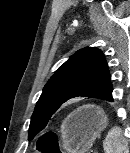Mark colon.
<instances>
[{
  "instance_id": "5ec220e1",
  "label": "colon",
  "mask_w": 130,
  "mask_h": 153,
  "mask_svg": "<svg viewBox=\"0 0 130 153\" xmlns=\"http://www.w3.org/2000/svg\"><path fill=\"white\" fill-rule=\"evenodd\" d=\"M36 150L38 153H58L57 138L54 133L43 135L37 142Z\"/></svg>"
}]
</instances>
